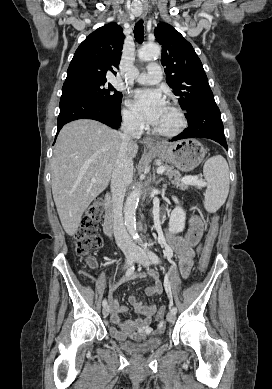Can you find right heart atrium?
Returning a JSON list of instances; mask_svg holds the SVG:
<instances>
[{"instance_id": "d8ad5b80", "label": "right heart atrium", "mask_w": 272, "mask_h": 389, "mask_svg": "<svg viewBox=\"0 0 272 389\" xmlns=\"http://www.w3.org/2000/svg\"><path fill=\"white\" fill-rule=\"evenodd\" d=\"M122 115H123V120L125 121V123L128 126L134 128V129L142 128L143 121L141 119V116L131 106H127L126 108H124L122 111Z\"/></svg>"}]
</instances>
